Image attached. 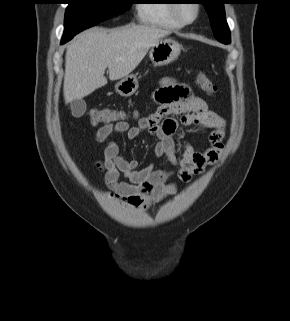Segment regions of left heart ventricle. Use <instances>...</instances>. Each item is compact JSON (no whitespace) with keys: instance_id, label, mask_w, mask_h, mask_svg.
Masks as SVG:
<instances>
[{"instance_id":"obj_1","label":"left heart ventricle","mask_w":290,"mask_h":321,"mask_svg":"<svg viewBox=\"0 0 290 321\" xmlns=\"http://www.w3.org/2000/svg\"><path fill=\"white\" fill-rule=\"evenodd\" d=\"M180 13L187 20L193 19L195 16V7H194L193 3L181 4Z\"/></svg>"}]
</instances>
